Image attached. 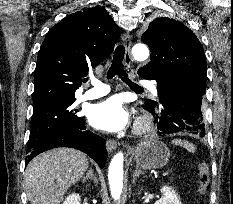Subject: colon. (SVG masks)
Masks as SVG:
<instances>
[{"instance_id": "5ec220e1", "label": "colon", "mask_w": 233, "mask_h": 204, "mask_svg": "<svg viewBox=\"0 0 233 204\" xmlns=\"http://www.w3.org/2000/svg\"><path fill=\"white\" fill-rule=\"evenodd\" d=\"M198 188L200 194H204L210 188V172L207 162H200L196 168Z\"/></svg>"}]
</instances>
